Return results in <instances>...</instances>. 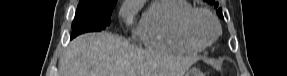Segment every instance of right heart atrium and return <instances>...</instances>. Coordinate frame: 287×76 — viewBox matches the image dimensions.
Here are the masks:
<instances>
[{"label": "right heart atrium", "instance_id": "obj_1", "mask_svg": "<svg viewBox=\"0 0 287 76\" xmlns=\"http://www.w3.org/2000/svg\"><path fill=\"white\" fill-rule=\"evenodd\" d=\"M138 4L134 1H128L126 2V4L124 5L123 9H122V14L127 18L130 19L132 16H134L136 14V12L138 11Z\"/></svg>", "mask_w": 287, "mask_h": 76}]
</instances>
